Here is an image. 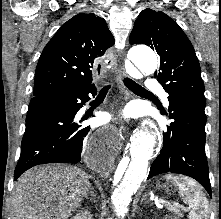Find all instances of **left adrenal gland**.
Masks as SVG:
<instances>
[{"label":"left adrenal gland","instance_id":"1","mask_svg":"<svg viewBox=\"0 0 221 219\" xmlns=\"http://www.w3.org/2000/svg\"><path fill=\"white\" fill-rule=\"evenodd\" d=\"M146 196H147V194H144V195H143L142 201H143V200H146Z\"/></svg>","mask_w":221,"mask_h":219}]
</instances>
